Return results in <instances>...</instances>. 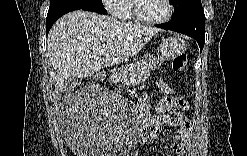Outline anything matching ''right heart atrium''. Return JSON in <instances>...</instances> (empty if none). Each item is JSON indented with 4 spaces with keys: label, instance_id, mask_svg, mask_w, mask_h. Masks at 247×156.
Here are the masks:
<instances>
[{
    "label": "right heart atrium",
    "instance_id": "d8ad5b80",
    "mask_svg": "<svg viewBox=\"0 0 247 156\" xmlns=\"http://www.w3.org/2000/svg\"><path fill=\"white\" fill-rule=\"evenodd\" d=\"M122 1L118 0H105L103 2L105 8L112 14L117 15L120 12V5Z\"/></svg>",
    "mask_w": 247,
    "mask_h": 156
}]
</instances>
